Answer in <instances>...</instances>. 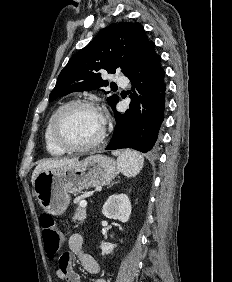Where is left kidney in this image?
<instances>
[{
  "instance_id": "left-kidney-1",
  "label": "left kidney",
  "mask_w": 232,
  "mask_h": 282,
  "mask_svg": "<svg viewBox=\"0 0 232 282\" xmlns=\"http://www.w3.org/2000/svg\"><path fill=\"white\" fill-rule=\"evenodd\" d=\"M131 203L125 194L111 195L104 203L102 214L110 219L119 220L123 223L127 222L131 215ZM116 244L101 243L102 255L110 254Z\"/></svg>"
}]
</instances>
